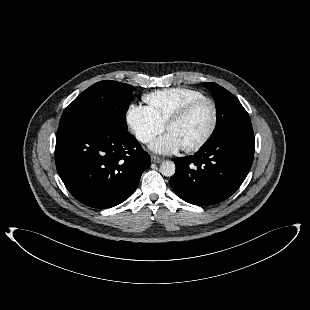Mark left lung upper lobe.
Listing matches in <instances>:
<instances>
[{"label": "left lung upper lobe", "instance_id": "obj_1", "mask_svg": "<svg viewBox=\"0 0 310 310\" xmlns=\"http://www.w3.org/2000/svg\"><path fill=\"white\" fill-rule=\"evenodd\" d=\"M211 91L216 104V129L208 143L222 139L241 129L251 127L247 111L239 100L216 83H204Z\"/></svg>", "mask_w": 310, "mask_h": 310}]
</instances>
